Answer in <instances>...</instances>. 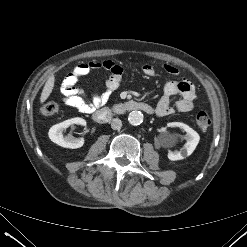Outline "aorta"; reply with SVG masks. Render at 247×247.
Instances as JSON below:
<instances>
[{"label": "aorta", "mask_w": 247, "mask_h": 247, "mask_svg": "<svg viewBox=\"0 0 247 247\" xmlns=\"http://www.w3.org/2000/svg\"><path fill=\"white\" fill-rule=\"evenodd\" d=\"M143 114L140 111H132L128 115V122L133 126H138L143 122Z\"/></svg>", "instance_id": "762f6f07"}]
</instances>
